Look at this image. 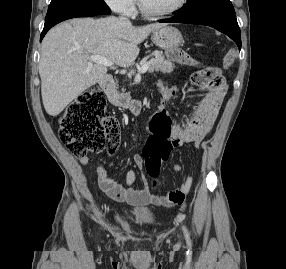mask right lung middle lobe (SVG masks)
Here are the masks:
<instances>
[{"label": "right lung middle lobe", "mask_w": 286, "mask_h": 269, "mask_svg": "<svg viewBox=\"0 0 286 269\" xmlns=\"http://www.w3.org/2000/svg\"><path fill=\"white\" fill-rule=\"evenodd\" d=\"M111 13L103 0H52L45 18V25L81 15Z\"/></svg>", "instance_id": "right-lung-middle-lobe-1"}]
</instances>
